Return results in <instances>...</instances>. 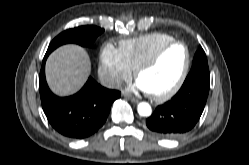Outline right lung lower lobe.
<instances>
[{
  "label": "right lung lower lobe",
  "mask_w": 249,
  "mask_h": 165,
  "mask_svg": "<svg viewBox=\"0 0 249 165\" xmlns=\"http://www.w3.org/2000/svg\"><path fill=\"white\" fill-rule=\"evenodd\" d=\"M46 53L39 76L43 111L51 126L60 134L75 139L87 138L105 123L112 103L121 93L99 85L89 77L84 87L69 97L54 95L45 79Z\"/></svg>",
  "instance_id": "obj_1"
}]
</instances>
